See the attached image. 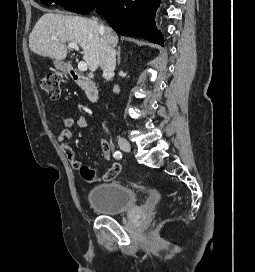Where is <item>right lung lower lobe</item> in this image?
Wrapping results in <instances>:
<instances>
[{
  "mask_svg": "<svg viewBox=\"0 0 255 272\" xmlns=\"http://www.w3.org/2000/svg\"><path fill=\"white\" fill-rule=\"evenodd\" d=\"M160 0H102L95 7L124 36H137L163 46L162 35L153 21Z\"/></svg>",
  "mask_w": 255,
  "mask_h": 272,
  "instance_id": "98d812e1",
  "label": "right lung lower lobe"
}]
</instances>
